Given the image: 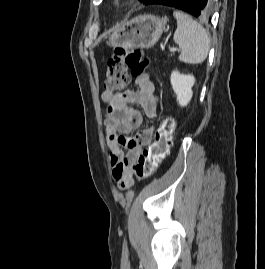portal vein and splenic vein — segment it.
I'll return each instance as SVG.
<instances>
[{
	"mask_svg": "<svg viewBox=\"0 0 265 269\" xmlns=\"http://www.w3.org/2000/svg\"><path fill=\"white\" fill-rule=\"evenodd\" d=\"M176 50H178L177 48H170L169 51L170 52H175Z\"/></svg>",
	"mask_w": 265,
	"mask_h": 269,
	"instance_id": "18ae733b",
	"label": "portal vein and splenic vein"
}]
</instances>
